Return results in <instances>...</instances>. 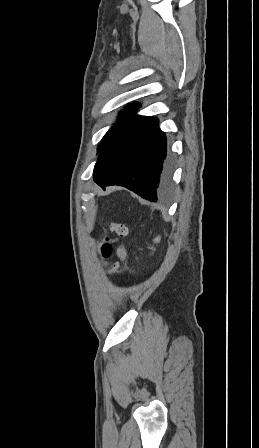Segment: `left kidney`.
Instances as JSON below:
<instances>
[{
	"instance_id": "obj_1",
	"label": "left kidney",
	"mask_w": 259,
	"mask_h": 448,
	"mask_svg": "<svg viewBox=\"0 0 259 448\" xmlns=\"http://www.w3.org/2000/svg\"><path fill=\"white\" fill-rule=\"evenodd\" d=\"M153 242H155V244H158V242H160V238H155V240H153Z\"/></svg>"
}]
</instances>
